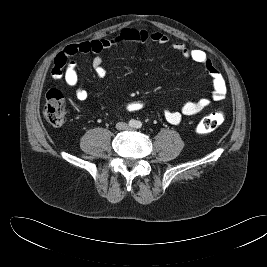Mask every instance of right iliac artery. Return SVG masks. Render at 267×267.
<instances>
[{
    "mask_svg": "<svg viewBox=\"0 0 267 267\" xmlns=\"http://www.w3.org/2000/svg\"><path fill=\"white\" fill-rule=\"evenodd\" d=\"M135 125H136L135 120H130V121H129V126H130V127H135Z\"/></svg>",
    "mask_w": 267,
    "mask_h": 267,
    "instance_id": "82829eb1",
    "label": "right iliac artery"
}]
</instances>
